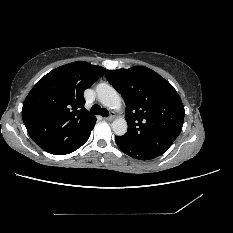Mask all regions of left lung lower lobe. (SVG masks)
Returning <instances> with one entry per match:
<instances>
[{"label":"left lung lower lobe","instance_id":"1","mask_svg":"<svg viewBox=\"0 0 233 233\" xmlns=\"http://www.w3.org/2000/svg\"><path fill=\"white\" fill-rule=\"evenodd\" d=\"M115 141L118 147L127 155L139 159V160H151L153 158L158 157L159 155L156 153H151L147 151L140 150L130 143L126 142L121 136H116Z\"/></svg>","mask_w":233,"mask_h":233}]
</instances>
